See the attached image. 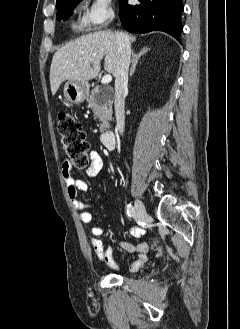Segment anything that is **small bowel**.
I'll use <instances>...</instances> for the list:
<instances>
[{
  "mask_svg": "<svg viewBox=\"0 0 240 329\" xmlns=\"http://www.w3.org/2000/svg\"><path fill=\"white\" fill-rule=\"evenodd\" d=\"M89 160L90 164L85 170V174L89 178L96 177L100 172L103 161L101 156L95 150H91L89 152ZM61 176L66 185V192L69 199L72 202V205L75 209L79 210V219L82 223L88 224L92 221V214L89 209L92 207L90 204L84 203L78 199V195L80 192H84L88 189V185L86 182L82 180L75 179L71 173V164L69 161H64L61 165ZM104 233V229L102 227H93L91 229L92 238L90 240L91 245L94 249V252L97 258L104 264L108 265L113 270H118V265L114 260L113 250L106 246L100 239ZM133 236L139 234V231L133 229L131 231ZM120 247L129 253H137V257L131 264L130 270L132 272H137L140 270L144 264L148 261V250L149 247L146 243H138V244H130L128 242L121 241L119 243Z\"/></svg>",
  "mask_w": 240,
  "mask_h": 329,
  "instance_id": "1",
  "label": "small bowel"
}]
</instances>
